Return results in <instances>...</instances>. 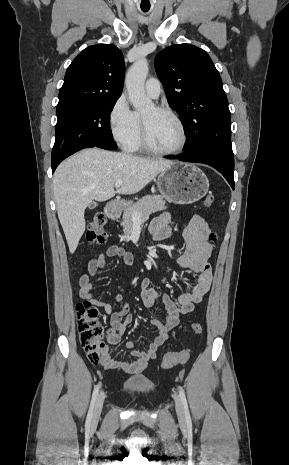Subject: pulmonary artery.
Here are the masks:
<instances>
[{
	"instance_id": "1",
	"label": "pulmonary artery",
	"mask_w": 289,
	"mask_h": 465,
	"mask_svg": "<svg viewBox=\"0 0 289 465\" xmlns=\"http://www.w3.org/2000/svg\"><path fill=\"white\" fill-rule=\"evenodd\" d=\"M145 90L151 98H157L161 93L160 81L156 78H149L145 83Z\"/></svg>"
}]
</instances>
